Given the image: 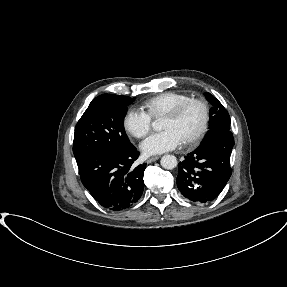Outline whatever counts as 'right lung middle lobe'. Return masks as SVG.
Returning <instances> with one entry per match:
<instances>
[{
	"label": "right lung middle lobe",
	"instance_id": "1",
	"mask_svg": "<svg viewBox=\"0 0 287 287\" xmlns=\"http://www.w3.org/2000/svg\"><path fill=\"white\" fill-rule=\"evenodd\" d=\"M134 99L104 94L92 100L75 127L73 153L77 164L97 151H127L134 147L123 125L127 105Z\"/></svg>",
	"mask_w": 287,
	"mask_h": 287
}]
</instances>
